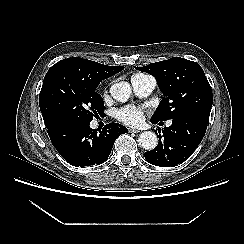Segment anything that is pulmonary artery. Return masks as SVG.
Segmentation results:
<instances>
[{"mask_svg":"<svg viewBox=\"0 0 244 244\" xmlns=\"http://www.w3.org/2000/svg\"><path fill=\"white\" fill-rule=\"evenodd\" d=\"M134 92L139 97H146L151 94L154 90L156 81L152 76L149 75H138L131 79ZM168 126L171 125L169 121Z\"/></svg>","mask_w":244,"mask_h":244,"instance_id":"pulmonary-artery-1","label":"pulmonary artery"}]
</instances>
